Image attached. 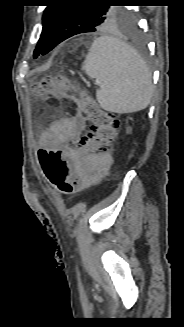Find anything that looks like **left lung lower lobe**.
Wrapping results in <instances>:
<instances>
[{"mask_svg":"<svg viewBox=\"0 0 184 327\" xmlns=\"http://www.w3.org/2000/svg\"><path fill=\"white\" fill-rule=\"evenodd\" d=\"M128 30H129L131 37L133 38L135 47L140 51L146 50V47H147L146 41H145V38L143 37V35L139 32V27L131 26L128 28ZM76 34H78V33H75V30H72V29L70 30V28H65V26L63 24V18H61L51 36L48 44L46 45L44 51L41 54L44 55V54L48 53L56 45H58L62 41L66 40Z\"/></svg>","mask_w":184,"mask_h":327,"instance_id":"left-lung-lower-lobe-1","label":"left lung lower lobe"}]
</instances>
